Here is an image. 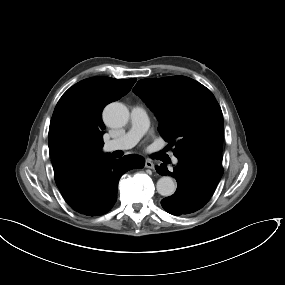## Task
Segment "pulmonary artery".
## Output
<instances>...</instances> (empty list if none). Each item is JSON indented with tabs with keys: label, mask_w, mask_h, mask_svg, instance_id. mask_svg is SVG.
<instances>
[{
	"label": "pulmonary artery",
	"mask_w": 285,
	"mask_h": 285,
	"mask_svg": "<svg viewBox=\"0 0 285 285\" xmlns=\"http://www.w3.org/2000/svg\"><path fill=\"white\" fill-rule=\"evenodd\" d=\"M130 129L121 136L105 141L103 150L105 152H113L116 150H127L134 147L140 140L142 135L148 129V118L144 108L136 105L132 108L130 114Z\"/></svg>",
	"instance_id": "e3ab8cb5"
}]
</instances>
